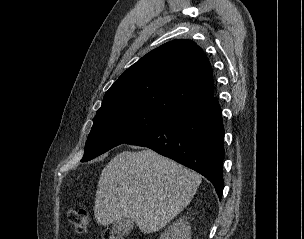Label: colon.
Listing matches in <instances>:
<instances>
[{"instance_id":"5ec220e1","label":"colon","mask_w":304,"mask_h":239,"mask_svg":"<svg viewBox=\"0 0 304 239\" xmlns=\"http://www.w3.org/2000/svg\"><path fill=\"white\" fill-rule=\"evenodd\" d=\"M67 218L78 233H85L89 226V215L85 209L82 208H71L67 212ZM101 239H123L116 235L113 231L106 229L103 230L100 236Z\"/></svg>"}]
</instances>
